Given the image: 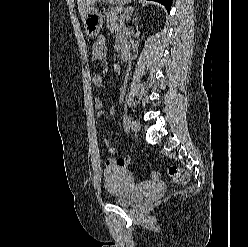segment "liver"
I'll return each mask as SVG.
<instances>
[{"label": "liver", "mask_w": 248, "mask_h": 247, "mask_svg": "<svg viewBox=\"0 0 248 247\" xmlns=\"http://www.w3.org/2000/svg\"><path fill=\"white\" fill-rule=\"evenodd\" d=\"M96 1L98 0H77L78 10L82 20L88 10V7L92 6Z\"/></svg>", "instance_id": "1"}]
</instances>
